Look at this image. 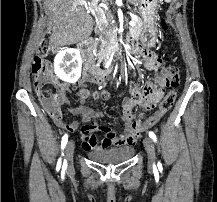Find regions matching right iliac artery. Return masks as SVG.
Returning a JSON list of instances; mask_svg holds the SVG:
<instances>
[{
	"mask_svg": "<svg viewBox=\"0 0 217 202\" xmlns=\"http://www.w3.org/2000/svg\"><path fill=\"white\" fill-rule=\"evenodd\" d=\"M67 142H68V135L65 134V135L62 137V141H61V149H62V150L65 148ZM62 155H64V154L62 153ZM57 163H62L61 158H59V160H58ZM63 163H67L66 160H64Z\"/></svg>",
	"mask_w": 217,
	"mask_h": 202,
	"instance_id": "right-iliac-artery-1",
	"label": "right iliac artery"
}]
</instances>
